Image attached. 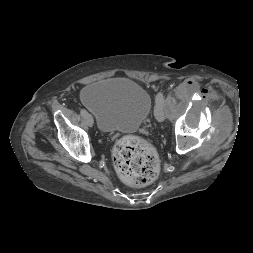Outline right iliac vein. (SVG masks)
<instances>
[{
    "label": "right iliac vein",
    "mask_w": 253,
    "mask_h": 253,
    "mask_svg": "<svg viewBox=\"0 0 253 253\" xmlns=\"http://www.w3.org/2000/svg\"><path fill=\"white\" fill-rule=\"evenodd\" d=\"M85 120H86V123L92 127L93 126V123H94V120H93V117L91 114L87 113L85 116H84Z\"/></svg>",
    "instance_id": "obj_1"
}]
</instances>
